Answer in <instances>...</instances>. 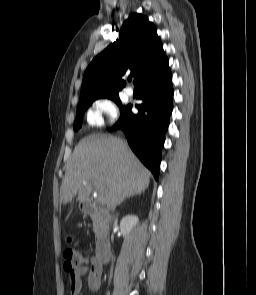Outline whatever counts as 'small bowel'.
<instances>
[{"label": "small bowel", "mask_w": 256, "mask_h": 295, "mask_svg": "<svg viewBox=\"0 0 256 295\" xmlns=\"http://www.w3.org/2000/svg\"><path fill=\"white\" fill-rule=\"evenodd\" d=\"M103 273V264L99 263L95 256L89 261L68 274V285L71 295H81L82 276L87 274V288L89 291H98L101 286V277Z\"/></svg>", "instance_id": "obj_1"}]
</instances>
